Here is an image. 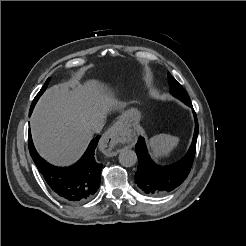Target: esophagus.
Here are the masks:
<instances>
[{
  "label": "esophagus",
  "mask_w": 246,
  "mask_h": 246,
  "mask_svg": "<svg viewBox=\"0 0 246 246\" xmlns=\"http://www.w3.org/2000/svg\"><path fill=\"white\" fill-rule=\"evenodd\" d=\"M122 128L120 125L115 124L107 130L99 144L100 150L107 156H115L119 150H115L121 142Z\"/></svg>",
  "instance_id": "1"
}]
</instances>
